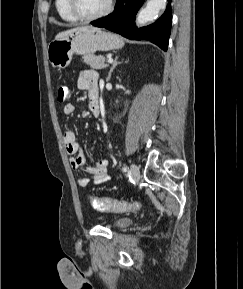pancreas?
<instances>
[{"label":"pancreas","instance_id":"cf45deb5","mask_svg":"<svg viewBox=\"0 0 243 289\" xmlns=\"http://www.w3.org/2000/svg\"><path fill=\"white\" fill-rule=\"evenodd\" d=\"M83 62L89 65L92 69L101 70L108 67L106 58L104 56H96L94 54H87L82 57Z\"/></svg>","mask_w":243,"mask_h":289}]
</instances>
